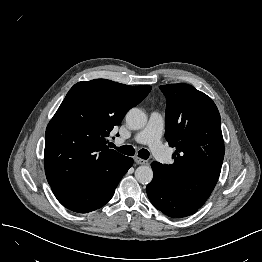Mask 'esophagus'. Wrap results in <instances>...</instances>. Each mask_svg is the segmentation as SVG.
Listing matches in <instances>:
<instances>
[{"instance_id": "obj_1", "label": "esophagus", "mask_w": 262, "mask_h": 262, "mask_svg": "<svg viewBox=\"0 0 262 262\" xmlns=\"http://www.w3.org/2000/svg\"><path fill=\"white\" fill-rule=\"evenodd\" d=\"M134 161H135V163L140 164V165H145V164L148 163L147 160L141 159V158H139V157H135V158H134Z\"/></svg>"}]
</instances>
